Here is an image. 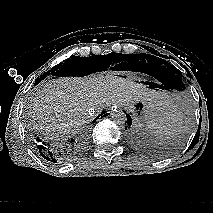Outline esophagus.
<instances>
[{"label": "esophagus", "mask_w": 213, "mask_h": 213, "mask_svg": "<svg viewBox=\"0 0 213 213\" xmlns=\"http://www.w3.org/2000/svg\"><path fill=\"white\" fill-rule=\"evenodd\" d=\"M116 107H117V106H113V107L111 108V112L115 111V110H116ZM118 107H119V106H118Z\"/></svg>", "instance_id": "34e87169"}]
</instances>
